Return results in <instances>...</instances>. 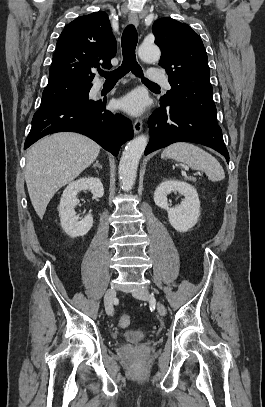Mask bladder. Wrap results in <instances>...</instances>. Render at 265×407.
I'll return each instance as SVG.
<instances>
[{
	"label": "bladder",
	"mask_w": 265,
	"mask_h": 407,
	"mask_svg": "<svg viewBox=\"0 0 265 407\" xmlns=\"http://www.w3.org/2000/svg\"><path fill=\"white\" fill-rule=\"evenodd\" d=\"M148 337V333L144 330H132L124 334V338L129 342H137Z\"/></svg>",
	"instance_id": "1"
}]
</instances>
